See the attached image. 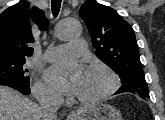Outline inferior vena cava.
I'll return each mask as SVG.
<instances>
[{
    "label": "inferior vena cava",
    "instance_id": "602c4592",
    "mask_svg": "<svg viewBox=\"0 0 165 120\" xmlns=\"http://www.w3.org/2000/svg\"><path fill=\"white\" fill-rule=\"evenodd\" d=\"M40 103L41 117L43 120H55V113L59 109L62 98L58 94L42 91L37 94Z\"/></svg>",
    "mask_w": 165,
    "mask_h": 120
}]
</instances>
